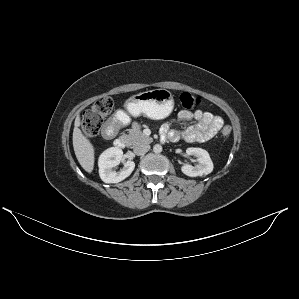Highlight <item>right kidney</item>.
I'll return each mask as SVG.
<instances>
[{"instance_id":"right-kidney-1","label":"right kidney","mask_w":299,"mask_h":299,"mask_svg":"<svg viewBox=\"0 0 299 299\" xmlns=\"http://www.w3.org/2000/svg\"><path fill=\"white\" fill-rule=\"evenodd\" d=\"M123 151L118 147L105 150L99 157V175L105 183H118L126 179L133 172L135 163L131 160L124 162V167L116 172L113 168L121 162Z\"/></svg>"}]
</instances>
